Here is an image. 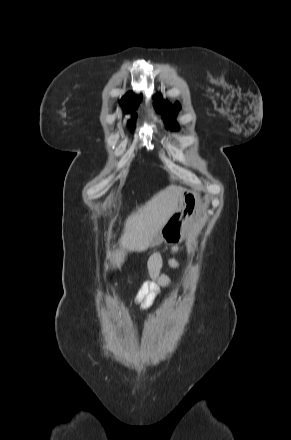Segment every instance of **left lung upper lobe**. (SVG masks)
Returning a JSON list of instances; mask_svg holds the SVG:
<instances>
[{
	"instance_id": "obj_1",
	"label": "left lung upper lobe",
	"mask_w": 291,
	"mask_h": 440,
	"mask_svg": "<svg viewBox=\"0 0 291 440\" xmlns=\"http://www.w3.org/2000/svg\"><path fill=\"white\" fill-rule=\"evenodd\" d=\"M154 106L158 113L162 114L164 122L167 128L172 130H178V124L175 121L176 113L181 109L178 102L171 105L169 102L164 101L161 94L153 96Z\"/></svg>"
}]
</instances>
